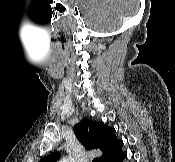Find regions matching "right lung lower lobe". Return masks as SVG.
<instances>
[{"label": "right lung lower lobe", "mask_w": 175, "mask_h": 162, "mask_svg": "<svg viewBox=\"0 0 175 162\" xmlns=\"http://www.w3.org/2000/svg\"><path fill=\"white\" fill-rule=\"evenodd\" d=\"M125 157H126V154L124 152H122V150H121L113 158H111V160H109V162H122Z\"/></svg>", "instance_id": "98d812e1"}]
</instances>
